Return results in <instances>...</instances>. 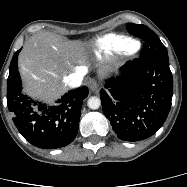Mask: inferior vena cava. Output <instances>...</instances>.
I'll list each match as a JSON object with an SVG mask.
<instances>
[{"mask_svg": "<svg viewBox=\"0 0 187 187\" xmlns=\"http://www.w3.org/2000/svg\"><path fill=\"white\" fill-rule=\"evenodd\" d=\"M86 74V70L84 68H79L76 72L70 74L66 78V83L71 88H76L81 86L83 76Z\"/></svg>", "mask_w": 187, "mask_h": 187, "instance_id": "1", "label": "inferior vena cava"}]
</instances>
